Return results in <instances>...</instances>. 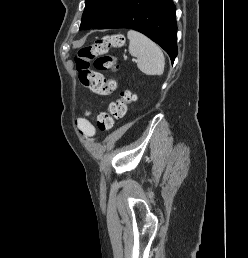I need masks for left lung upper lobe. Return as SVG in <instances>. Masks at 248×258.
<instances>
[{
	"instance_id": "1",
	"label": "left lung upper lobe",
	"mask_w": 248,
	"mask_h": 258,
	"mask_svg": "<svg viewBox=\"0 0 248 258\" xmlns=\"http://www.w3.org/2000/svg\"><path fill=\"white\" fill-rule=\"evenodd\" d=\"M128 0H86L80 29L96 28L114 17Z\"/></svg>"
}]
</instances>
